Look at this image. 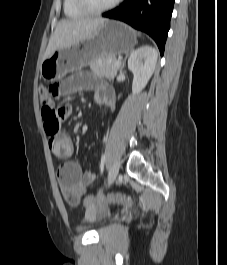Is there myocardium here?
Here are the masks:
<instances>
[{
  "label": "myocardium",
  "mask_w": 227,
  "mask_h": 265,
  "mask_svg": "<svg viewBox=\"0 0 227 265\" xmlns=\"http://www.w3.org/2000/svg\"><path fill=\"white\" fill-rule=\"evenodd\" d=\"M122 0H113L103 7H92L87 0H75L77 7L87 14H101L116 7Z\"/></svg>",
  "instance_id": "f54148a6"
}]
</instances>
